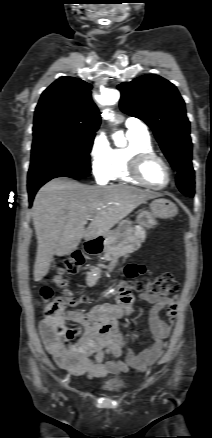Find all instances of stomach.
I'll list each match as a JSON object with an SVG mask.
<instances>
[{"instance_id":"stomach-1","label":"stomach","mask_w":212,"mask_h":438,"mask_svg":"<svg viewBox=\"0 0 212 438\" xmlns=\"http://www.w3.org/2000/svg\"><path fill=\"white\" fill-rule=\"evenodd\" d=\"M149 207L150 210H141L137 215V222L147 229L154 228L158 224L157 219H167L177 214L175 204L164 198L152 201ZM132 229L129 221H121L114 231L105 236V243L109 245L116 244L129 236Z\"/></svg>"}]
</instances>
